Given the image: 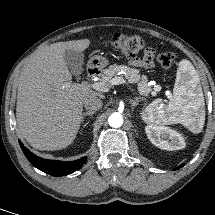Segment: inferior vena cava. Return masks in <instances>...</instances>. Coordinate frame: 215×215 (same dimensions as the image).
<instances>
[{
    "label": "inferior vena cava",
    "instance_id": "602c4592",
    "mask_svg": "<svg viewBox=\"0 0 215 215\" xmlns=\"http://www.w3.org/2000/svg\"><path fill=\"white\" fill-rule=\"evenodd\" d=\"M85 109L90 111H97L102 108L103 102L96 96H87L83 100Z\"/></svg>",
    "mask_w": 215,
    "mask_h": 215
}]
</instances>
